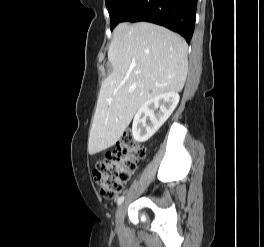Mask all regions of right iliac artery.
I'll return each instance as SVG.
<instances>
[{
	"label": "right iliac artery",
	"instance_id": "1",
	"mask_svg": "<svg viewBox=\"0 0 264 247\" xmlns=\"http://www.w3.org/2000/svg\"><path fill=\"white\" fill-rule=\"evenodd\" d=\"M123 201H124V196H121L118 198L117 204L120 205V204H122Z\"/></svg>",
	"mask_w": 264,
	"mask_h": 247
}]
</instances>
